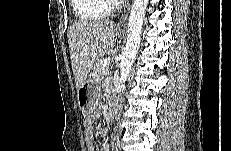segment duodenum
<instances>
[{"mask_svg": "<svg viewBox=\"0 0 231 151\" xmlns=\"http://www.w3.org/2000/svg\"><path fill=\"white\" fill-rule=\"evenodd\" d=\"M118 108V102L116 99H112L109 108L106 110L107 113L114 115Z\"/></svg>", "mask_w": 231, "mask_h": 151, "instance_id": "410a0bca", "label": "duodenum"}]
</instances>
